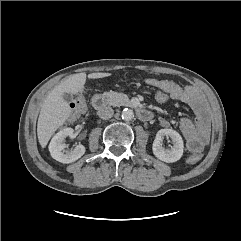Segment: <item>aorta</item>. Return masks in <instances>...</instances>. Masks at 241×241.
<instances>
[{"instance_id": "aorta-1", "label": "aorta", "mask_w": 241, "mask_h": 241, "mask_svg": "<svg viewBox=\"0 0 241 241\" xmlns=\"http://www.w3.org/2000/svg\"><path fill=\"white\" fill-rule=\"evenodd\" d=\"M133 117H134L133 110L128 109V108L123 109V111H122V119L123 120L130 121L133 119Z\"/></svg>"}]
</instances>
